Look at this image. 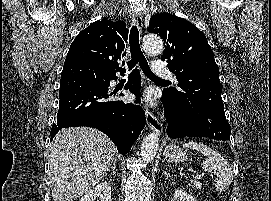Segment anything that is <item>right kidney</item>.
I'll return each mask as SVG.
<instances>
[{
    "label": "right kidney",
    "mask_w": 271,
    "mask_h": 201,
    "mask_svg": "<svg viewBox=\"0 0 271 201\" xmlns=\"http://www.w3.org/2000/svg\"><path fill=\"white\" fill-rule=\"evenodd\" d=\"M111 201V186L108 182H101L82 196L79 201Z\"/></svg>",
    "instance_id": "1"
}]
</instances>
